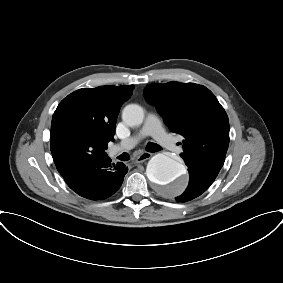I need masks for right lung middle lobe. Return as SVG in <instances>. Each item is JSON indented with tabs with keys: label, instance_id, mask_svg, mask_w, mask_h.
<instances>
[{
	"label": "right lung middle lobe",
	"instance_id": "1",
	"mask_svg": "<svg viewBox=\"0 0 283 283\" xmlns=\"http://www.w3.org/2000/svg\"><path fill=\"white\" fill-rule=\"evenodd\" d=\"M80 154H81L82 160H86L91 155V149L89 147L84 146L81 148Z\"/></svg>",
	"mask_w": 283,
	"mask_h": 283
}]
</instances>
